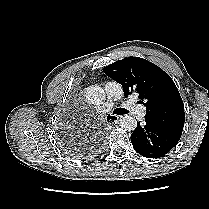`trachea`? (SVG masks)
I'll return each instance as SVG.
<instances>
[{"label":"trachea","instance_id":"3493384b","mask_svg":"<svg viewBox=\"0 0 209 209\" xmlns=\"http://www.w3.org/2000/svg\"><path fill=\"white\" fill-rule=\"evenodd\" d=\"M114 114H117V115H124V114H127L128 111L124 108H116L114 111H113ZM108 119V117H107Z\"/></svg>","mask_w":209,"mask_h":209}]
</instances>
